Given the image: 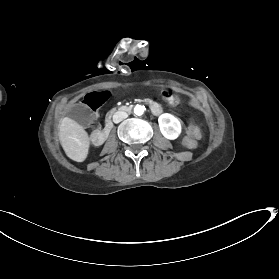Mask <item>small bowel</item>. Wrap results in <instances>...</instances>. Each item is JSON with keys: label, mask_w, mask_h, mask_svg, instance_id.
Instances as JSON below:
<instances>
[{"label": "small bowel", "mask_w": 279, "mask_h": 279, "mask_svg": "<svg viewBox=\"0 0 279 279\" xmlns=\"http://www.w3.org/2000/svg\"><path fill=\"white\" fill-rule=\"evenodd\" d=\"M163 98L171 105H177L179 102L177 95H175L169 91L163 92Z\"/></svg>", "instance_id": "1"}]
</instances>
